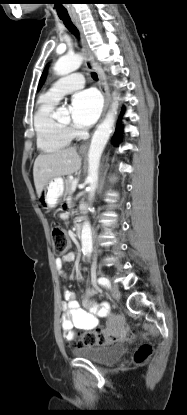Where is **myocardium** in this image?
<instances>
[{"mask_svg":"<svg viewBox=\"0 0 187 415\" xmlns=\"http://www.w3.org/2000/svg\"><path fill=\"white\" fill-rule=\"evenodd\" d=\"M63 128H65L66 130H68V131H70V126H69V124H62V123H59Z\"/></svg>","mask_w":187,"mask_h":415,"instance_id":"f54148a6","label":"myocardium"}]
</instances>
